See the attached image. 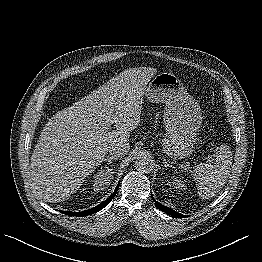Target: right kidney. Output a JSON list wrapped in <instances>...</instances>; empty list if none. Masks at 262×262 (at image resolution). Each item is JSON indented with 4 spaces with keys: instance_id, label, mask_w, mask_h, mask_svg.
Masks as SVG:
<instances>
[{
    "instance_id": "1",
    "label": "right kidney",
    "mask_w": 262,
    "mask_h": 262,
    "mask_svg": "<svg viewBox=\"0 0 262 262\" xmlns=\"http://www.w3.org/2000/svg\"><path fill=\"white\" fill-rule=\"evenodd\" d=\"M93 190L95 192H100L108 188L113 179V172L111 169L101 170L100 172L96 173L93 177Z\"/></svg>"
}]
</instances>
